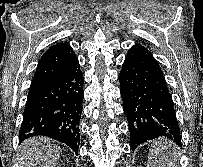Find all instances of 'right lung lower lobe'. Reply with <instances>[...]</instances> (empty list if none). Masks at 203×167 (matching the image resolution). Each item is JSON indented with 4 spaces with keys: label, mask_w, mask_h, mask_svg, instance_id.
Wrapping results in <instances>:
<instances>
[{
    "label": "right lung lower lobe",
    "mask_w": 203,
    "mask_h": 167,
    "mask_svg": "<svg viewBox=\"0 0 203 167\" xmlns=\"http://www.w3.org/2000/svg\"><path fill=\"white\" fill-rule=\"evenodd\" d=\"M83 80L76 58L56 77L38 88L30 89L19 130V142L42 135L65 143L77 153Z\"/></svg>",
    "instance_id": "right-lung-lower-lobe-1"
}]
</instances>
